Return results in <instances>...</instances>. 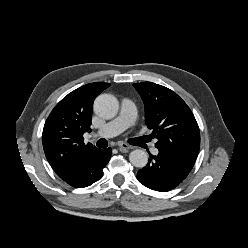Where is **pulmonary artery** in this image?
Wrapping results in <instances>:
<instances>
[{"label": "pulmonary artery", "mask_w": 248, "mask_h": 248, "mask_svg": "<svg viewBox=\"0 0 248 248\" xmlns=\"http://www.w3.org/2000/svg\"><path fill=\"white\" fill-rule=\"evenodd\" d=\"M136 119V105L129 98L122 99L121 112L118 117L100 127L94 134L96 137L109 138L120 134L126 128L132 126ZM154 155L158 154L156 148L152 149Z\"/></svg>", "instance_id": "pulmonary-artery-1"}]
</instances>
